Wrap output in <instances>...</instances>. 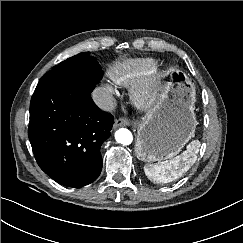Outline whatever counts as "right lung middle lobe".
<instances>
[{
	"instance_id": "right-lung-middle-lobe-1",
	"label": "right lung middle lobe",
	"mask_w": 243,
	"mask_h": 243,
	"mask_svg": "<svg viewBox=\"0 0 243 243\" xmlns=\"http://www.w3.org/2000/svg\"><path fill=\"white\" fill-rule=\"evenodd\" d=\"M102 77L103 72L96 58L90 56V52H83L60 62L51 71L47 72L39 83H98Z\"/></svg>"
}]
</instances>
